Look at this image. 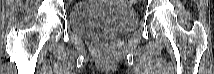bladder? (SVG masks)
Instances as JSON below:
<instances>
[{
    "instance_id": "31cf9c89",
    "label": "bladder",
    "mask_w": 214,
    "mask_h": 74,
    "mask_svg": "<svg viewBox=\"0 0 214 74\" xmlns=\"http://www.w3.org/2000/svg\"><path fill=\"white\" fill-rule=\"evenodd\" d=\"M137 21L135 12L110 2H79L68 15L70 30L85 36L95 26H108L119 33L131 29Z\"/></svg>"
}]
</instances>
